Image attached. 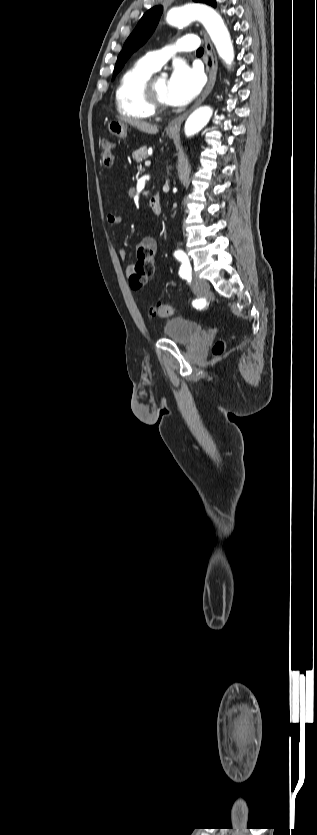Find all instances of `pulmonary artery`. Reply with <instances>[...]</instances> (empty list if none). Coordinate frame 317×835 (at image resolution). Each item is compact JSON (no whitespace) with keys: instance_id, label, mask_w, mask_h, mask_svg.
Masks as SVG:
<instances>
[{"instance_id":"e3ab8cb5","label":"pulmonary artery","mask_w":317,"mask_h":835,"mask_svg":"<svg viewBox=\"0 0 317 835\" xmlns=\"http://www.w3.org/2000/svg\"><path fill=\"white\" fill-rule=\"evenodd\" d=\"M199 46V39L195 35H185L180 37L172 45L166 46L160 50L148 52L142 59L153 69L158 70L174 53L189 52L196 50Z\"/></svg>"}]
</instances>
